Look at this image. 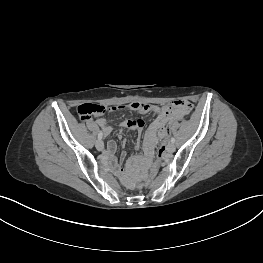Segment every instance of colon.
Returning <instances> with one entry per match:
<instances>
[{
	"instance_id": "obj_1",
	"label": "colon",
	"mask_w": 263,
	"mask_h": 263,
	"mask_svg": "<svg viewBox=\"0 0 263 263\" xmlns=\"http://www.w3.org/2000/svg\"><path fill=\"white\" fill-rule=\"evenodd\" d=\"M176 107H182L185 110V114H187L190 109H191V104L188 101H177L174 103ZM106 110V107L101 105V104H94V103H86L82 104L77 108V113L80 117L81 120H87L91 116L98 115L104 113ZM124 110L127 113H136L137 111L141 115H147L150 112V107L145 101H140L138 104L136 102H127L124 105ZM172 127L170 126L169 123L165 124V138L160 144V148L158 150V154L155 157L152 165L150 166L149 173L145 181L133 184L131 187L133 189L135 188H144L148 187L153 181L156 176V173L158 171V167L160 166V161L165 155V147L166 144L168 143L170 137H171V132H172Z\"/></svg>"
}]
</instances>
